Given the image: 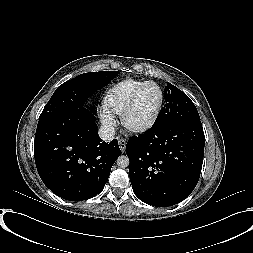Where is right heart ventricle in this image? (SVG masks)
I'll return each instance as SVG.
<instances>
[{"instance_id": "1", "label": "right heart ventricle", "mask_w": 253, "mask_h": 253, "mask_svg": "<svg viewBox=\"0 0 253 253\" xmlns=\"http://www.w3.org/2000/svg\"><path fill=\"white\" fill-rule=\"evenodd\" d=\"M143 80L126 78L114 83L103 97V107L109 112L121 115L134 90Z\"/></svg>"}]
</instances>
